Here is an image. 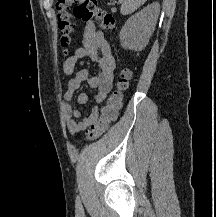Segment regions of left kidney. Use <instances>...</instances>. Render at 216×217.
<instances>
[{
  "instance_id": "obj_1",
  "label": "left kidney",
  "mask_w": 216,
  "mask_h": 217,
  "mask_svg": "<svg viewBox=\"0 0 216 217\" xmlns=\"http://www.w3.org/2000/svg\"><path fill=\"white\" fill-rule=\"evenodd\" d=\"M159 15V5L150 4L131 16L120 31V42L124 49L141 51L149 42Z\"/></svg>"
}]
</instances>
